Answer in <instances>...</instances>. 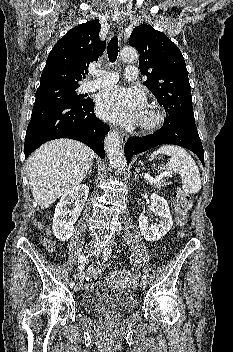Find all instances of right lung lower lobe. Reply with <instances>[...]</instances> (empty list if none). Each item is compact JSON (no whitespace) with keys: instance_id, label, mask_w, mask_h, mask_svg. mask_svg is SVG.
Here are the masks:
<instances>
[{"instance_id":"right-lung-lower-lobe-1","label":"right lung lower lobe","mask_w":233,"mask_h":352,"mask_svg":"<svg viewBox=\"0 0 233 352\" xmlns=\"http://www.w3.org/2000/svg\"><path fill=\"white\" fill-rule=\"evenodd\" d=\"M108 131L110 127L94 114V103L90 98L79 103L34 106L26 131L25 158L47 141L71 138L88 145L103 159Z\"/></svg>"}]
</instances>
